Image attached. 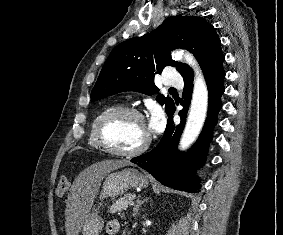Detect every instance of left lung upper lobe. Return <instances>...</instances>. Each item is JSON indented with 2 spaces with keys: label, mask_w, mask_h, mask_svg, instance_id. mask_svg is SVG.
<instances>
[{
  "label": "left lung upper lobe",
  "mask_w": 283,
  "mask_h": 235,
  "mask_svg": "<svg viewBox=\"0 0 283 235\" xmlns=\"http://www.w3.org/2000/svg\"><path fill=\"white\" fill-rule=\"evenodd\" d=\"M175 48L193 53L203 73L225 59L214 27L203 18L171 16L156 30L126 40L112 50L92 89L91 101L122 91L155 94L158 88L154 84V76L166 66L176 67L184 79L193 78L188 65L171 59L170 51ZM156 100L160 105H165L169 115L174 101L163 95H158Z\"/></svg>",
  "instance_id": "obj_1"
}]
</instances>
